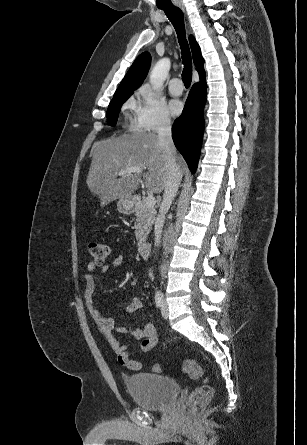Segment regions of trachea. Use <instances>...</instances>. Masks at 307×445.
I'll return each instance as SVG.
<instances>
[{
	"label": "trachea",
	"mask_w": 307,
	"mask_h": 445,
	"mask_svg": "<svg viewBox=\"0 0 307 445\" xmlns=\"http://www.w3.org/2000/svg\"><path fill=\"white\" fill-rule=\"evenodd\" d=\"M164 10L165 14L172 22L174 28L176 29L178 40L181 45V53L184 64V69L182 72V80L186 88H188L191 84L192 80V63L189 47L185 38V29H184V17L183 13L178 7H166L161 8Z\"/></svg>",
	"instance_id": "obj_1"
}]
</instances>
